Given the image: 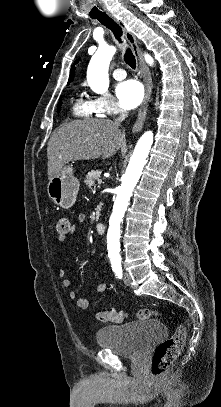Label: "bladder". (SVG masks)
<instances>
[{"label": "bladder", "instance_id": "bladder-1", "mask_svg": "<svg viewBox=\"0 0 221 407\" xmlns=\"http://www.w3.org/2000/svg\"><path fill=\"white\" fill-rule=\"evenodd\" d=\"M166 334L167 327L161 320H141L101 327L96 331L95 340L98 346L113 349L122 357L137 358Z\"/></svg>", "mask_w": 221, "mask_h": 407}]
</instances>
